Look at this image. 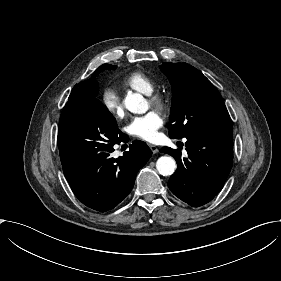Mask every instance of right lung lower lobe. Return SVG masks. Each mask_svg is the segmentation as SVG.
Returning a JSON list of instances; mask_svg holds the SVG:
<instances>
[{"mask_svg":"<svg viewBox=\"0 0 281 281\" xmlns=\"http://www.w3.org/2000/svg\"><path fill=\"white\" fill-rule=\"evenodd\" d=\"M97 89V83L89 81L74 86L60 116L57 142L64 175L76 197L105 212L131 192L137 172L152 152L135 140L123 156L111 157L113 146L128 142V136L95 98Z\"/></svg>","mask_w":281,"mask_h":281,"instance_id":"right-lung-lower-lobe-1","label":"right lung lower lobe"}]
</instances>
